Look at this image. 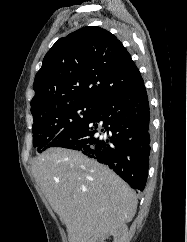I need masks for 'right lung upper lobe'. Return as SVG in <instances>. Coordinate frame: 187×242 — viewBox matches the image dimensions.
Returning <instances> with one entry per match:
<instances>
[{
  "instance_id": "right-lung-upper-lobe-1",
  "label": "right lung upper lobe",
  "mask_w": 187,
  "mask_h": 242,
  "mask_svg": "<svg viewBox=\"0 0 187 242\" xmlns=\"http://www.w3.org/2000/svg\"><path fill=\"white\" fill-rule=\"evenodd\" d=\"M144 83L130 54L110 32L96 26L60 38L37 72L31 100L36 117L72 102L98 105Z\"/></svg>"
}]
</instances>
